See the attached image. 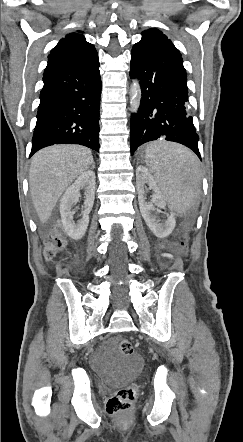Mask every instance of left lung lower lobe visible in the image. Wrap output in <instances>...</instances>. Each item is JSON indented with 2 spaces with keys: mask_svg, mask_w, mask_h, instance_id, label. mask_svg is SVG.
<instances>
[{
  "mask_svg": "<svg viewBox=\"0 0 243 442\" xmlns=\"http://www.w3.org/2000/svg\"><path fill=\"white\" fill-rule=\"evenodd\" d=\"M130 77L140 82L142 98L131 117V155L157 139L181 143L201 158L192 117L186 112L188 87L181 54L156 35H145L131 52Z\"/></svg>",
  "mask_w": 243,
  "mask_h": 442,
  "instance_id": "1",
  "label": "left lung lower lobe"
}]
</instances>
